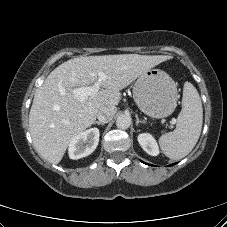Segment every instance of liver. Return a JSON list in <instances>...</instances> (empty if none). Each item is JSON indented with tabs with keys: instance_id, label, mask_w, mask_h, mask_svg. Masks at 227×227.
<instances>
[{
	"instance_id": "liver-1",
	"label": "liver",
	"mask_w": 227,
	"mask_h": 227,
	"mask_svg": "<svg viewBox=\"0 0 227 227\" xmlns=\"http://www.w3.org/2000/svg\"><path fill=\"white\" fill-rule=\"evenodd\" d=\"M170 59L164 55L120 54L81 56L56 67L36 90L29 113V130L38 153L58 164L71 140L90 127L103 106L116 107L123 88L156 65ZM102 81L96 94L80 100L74 90Z\"/></svg>"
}]
</instances>
